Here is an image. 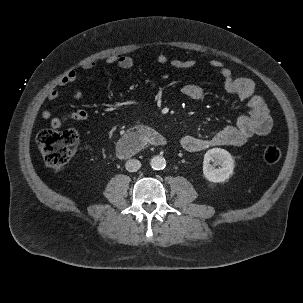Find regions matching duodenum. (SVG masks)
<instances>
[{
    "label": "duodenum",
    "mask_w": 303,
    "mask_h": 303,
    "mask_svg": "<svg viewBox=\"0 0 303 303\" xmlns=\"http://www.w3.org/2000/svg\"><path fill=\"white\" fill-rule=\"evenodd\" d=\"M167 144L166 138L149 127H137L126 133L117 144V154L129 158L145 146L163 147Z\"/></svg>",
    "instance_id": "obj_1"
}]
</instances>
